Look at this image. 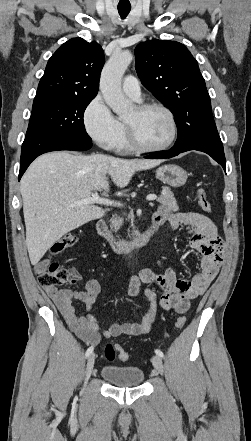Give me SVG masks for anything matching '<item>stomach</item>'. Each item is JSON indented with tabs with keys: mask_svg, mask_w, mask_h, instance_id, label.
Returning a JSON list of instances; mask_svg holds the SVG:
<instances>
[{
	"mask_svg": "<svg viewBox=\"0 0 251 441\" xmlns=\"http://www.w3.org/2000/svg\"><path fill=\"white\" fill-rule=\"evenodd\" d=\"M156 177L172 187H181L187 181V172L178 165L169 164L159 167Z\"/></svg>",
	"mask_w": 251,
	"mask_h": 441,
	"instance_id": "0dacf381",
	"label": "stomach"
}]
</instances>
